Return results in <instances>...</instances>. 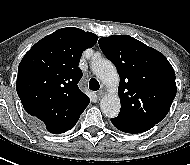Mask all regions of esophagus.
I'll use <instances>...</instances> for the list:
<instances>
[{
	"mask_svg": "<svg viewBox=\"0 0 190 165\" xmlns=\"http://www.w3.org/2000/svg\"><path fill=\"white\" fill-rule=\"evenodd\" d=\"M104 90L103 89H101V90H99L96 94H97V97L98 98H101L103 95H104Z\"/></svg>",
	"mask_w": 190,
	"mask_h": 165,
	"instance_id": "1",
	"label": "esophagus"
}]
</instances>
